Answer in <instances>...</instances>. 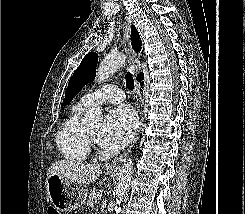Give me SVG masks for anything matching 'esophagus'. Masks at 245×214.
<instances>
[{
	"instance_id": "obj_1",
	"label": "esophagus",
	"mask_w": 245,
	"mask_h": 214,
	"mask_svg": "<svg viewBox=\"0 0 245 214\" xmlns=\"http://www.w3.org/2000/svg\"><path fill=\"white\" fill-rule=\"evenodd\" d=\"M131 25H132V20L131 18L125 14L124 15V21H123V32H124V35H123V44H124V50L128 56V62H129V66H130V69L133 73V75H137L138 73V58H137V55L136 53L134 52V50L132 49V46H131ZM134 102H135V105L137 106L138 108V111H139V125L142 124V118H141V114L142 112L140 111V107H142V104H143V99L141 97V93H140V89H139V84L138 82L136 81L135 82V88H134ZM139 134V130L137 131V136ZM138 137H136L134 139V143H136ZM131 149H128V151L124 152L123 154H121L117 159H115L114 161V164H117V163H120L122 161H124L127 157V155L130 153Z\"/></svg>"
}]
</instances>
